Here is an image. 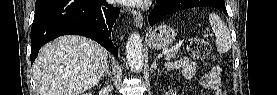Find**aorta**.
<instances>
[{
    "instance_id": "762f6f07",
    "label": "aorta",
    "mask_w": 277,
    "mask_h": 95,
    "mask_svg": "<svg viewBox=\"0 0 277 95\" xmlns=\"http://www.w3.org/2000/svg\"><path fill=\"white\" fill-rule=\"evenodd\" d=\"M126 58L132 71H141L143 67V44L141 36L136 32L128 37L126 43Z\"/></svg>"
}]
</instances>
